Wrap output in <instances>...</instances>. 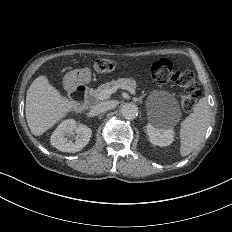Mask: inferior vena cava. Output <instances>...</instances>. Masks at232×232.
<instances>
[{"label":"inferior vena cava","mask_w":232,"mask_h":232,"mask_svg":"<svg viewBox=\"0 0 232 232\" xmlns=\"http://www.w3.org/2000/svg\"><path fill=\"white\" fill-rule=\"evenodd\" d=\"M115 107H116V103L114 101H106V102L99 103L95 107V111L97 113H102V112H106L108 110H111Z\"/></svg>","instance_id":"inferior-vena-cava-1"}]
</instances>
